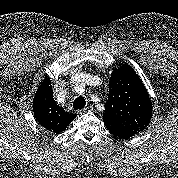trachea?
<instances>
[{"instance_id": "obj_1", "label": "trachea", "mask_w": 178, "mask_h": 178, "mask_svg": "<svg viewBox=\"0 0 178 178\" xmlns=\"http://www.w3.org/2000/svg\"><path fill=\"white\" fill-rule=\"evenodd\" d=\"M86 105V100L84 97L79 96L78 98H76L73 102V108L75 110L77 109H82L84 108V106Z\"/></svg>"}]
</instances>
